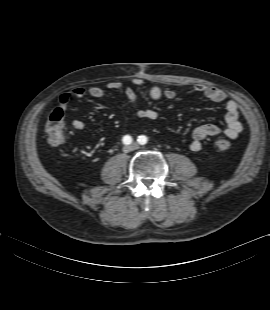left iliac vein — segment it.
<instances>
[{
    "label": "left iliac vein",
    "instance_id": "4c4485c4",
    "mask_svg": "<svg viewBox=\"0 0 270 310\" xmlns=\"http://www.w3.org/2000/svg\"><path fill=\"white\" fill-rule=\"evenodd\" d=\"M139 145L137 143L131 144L132 149H138Z\"/></svg>",
    "mask_w": 270,
    "mask_h": 310
}]
</instances>
